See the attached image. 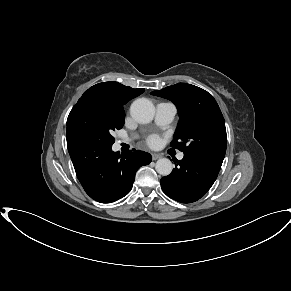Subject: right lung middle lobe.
Here are the masks:
<instances>
[{
	"label": "right lung middle lobe",
	"mask_w": 291,
	"mask_h": 291,
	"mask_svg": "<svg viewBox=\"0 0 291 291\" xmlns=\"http://www.w3.org/2000/svg\"><path fill=\"white\" fill-rule=\"evenodd\" d=\"M125 113L108 103L82 99L72 108L67 119L66 136L86 137L112 146L113 131L124 125Z\"/></svg>",
	"instance_id": "obj_1"
}]
</instances>
